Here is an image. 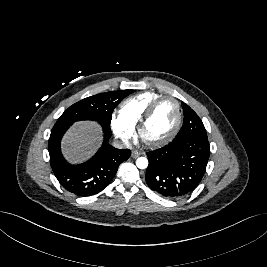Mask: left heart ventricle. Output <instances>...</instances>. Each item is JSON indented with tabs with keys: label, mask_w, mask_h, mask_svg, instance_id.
Returning a JSON list of instances; mask_svg holds the SVG:
<instances>
[{
	"label": "left heart ventricle",
	"mask_w": 267,
	"mask_h": 267,
	"mask_svg": "<svg viewBox=\"0 0 267 267\" xmlns=\"http://www.w3.org/2000/svg\"><path fill=\"white\" fill-rule=\"evenodd\" d=\"M177 120L176 105L171 100L162 101L145 125L142 136L147 141H155L167 136Z\"/></svg>",
	"instance_id": "b2bd125f"
}]
</instances>
